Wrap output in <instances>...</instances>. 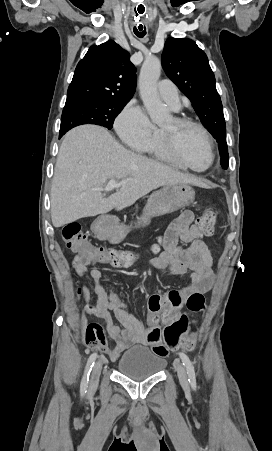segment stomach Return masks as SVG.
<instances>
[{
	"instance_id": "0dacf381",
	"label": "stomach",
	"mask_w": 272,
	"mask_h": 451,
	"mask_svg": "<svg viewBox=\"0 0 272 451\" xmlns=\"http://www.w3.org/2000/svg\"><path fill=\"white\" fill-rule=\"evenodd\" d=\"M195 200V192L188 184H167L162 190L153 192L145 206L142 218H138V226H146L149 224L150 218L154 216H163V214H171L186 206H191ZM129 229L124 224L115 227L109 241L111 243H119L124 239Z\"/></svg>"
}]
</instances>
